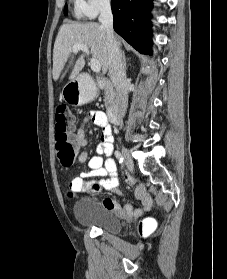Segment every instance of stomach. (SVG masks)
Returning <instances> with one entry per match:
<instances>
[{"label":"stomach","instance_id":"stomach-1","mask_svg":"<svg viewBox=\"0 0 227 279\" xmlns=\"http://www.w3.org/2000/svg\"><path fill=\"white\" fill-rule=\"evenodd\" d=\"M97 95L96 85L87 80L81 82L78 78L69 81L62 90L63 99L70 105L79 106L93 100Z\"/></svg>","mask_w":227,"mask_h":279}]
</instances>
